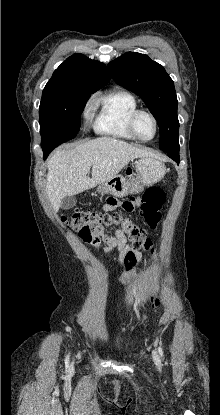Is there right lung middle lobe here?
I'll return each instance as SVG.
<instances>
[{
	"mask_svg": "<svg viewBox=\"0 0 220 415\" xmlns=\"http://www.w3.org/2000/svg\"><path fill=\"white\" fill-rule=\"evenodd\" d=\"M92 93L44 88L39 107L42 149L55 148L77 135L81 112Z\"/></svg>",
	"mask_w": 220,
	"mask_h": 415,
	"instance_id": "1",
	"label": "right lung middle lobe"
}]
</instances>
